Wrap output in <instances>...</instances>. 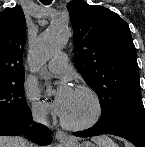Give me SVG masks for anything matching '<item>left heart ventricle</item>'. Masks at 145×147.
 I'll return each instance as SVG.
<instances>
[{"instance_id": "1", "label": "left heart ventricle", "mask_w": 145, "mask_h": 147, "mask_svg": "<svg viewBox=\"0 0 145 147\" xmlns=\"http://www.w3.org/2000/svg\"><path fill=\"white\" fill-rule=\"evenodd\" d=\"M93 110L94 106L90 97L75 90L70 106L63 117L69 122L79 123L90 118Z\"/></svg>"}]
</instances>
